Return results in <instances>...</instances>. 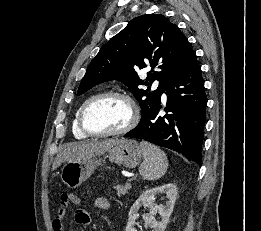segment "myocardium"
I'll return each mask as SVG.
<instances>
[{"label": "myocardium", "mask_w": 261, "mask_h": 231, "mask_svg": "<svg viewBox=\"0 0 261 231\" xmlns=\"http://www.w3.org/2000/svg\"><path fill=\"white\" fill-rule=\"evenodd\" d=\"M111 97L121 98L128 102L130 109H131V119H130L129 123L127 124V126H125L124 128H122L120 130H117V131L95 132V131L91 130L86 123V114H87L88 110L92 106L97 104L98 102H100L104 99H107V98H111ZM139 118H140L139 108H138L135 100L129 94L120 92V91H108V92H103V93H99V94L95 95L94 97H92L90 100H88L84 104V106L80 110L78 122H79V127H80L81 131L88 136L111 137V136L125 135V134L129 133L130 131H132L138 124Z\"/></svg>", "instance_id": "f54148a6"}]
</instances>
